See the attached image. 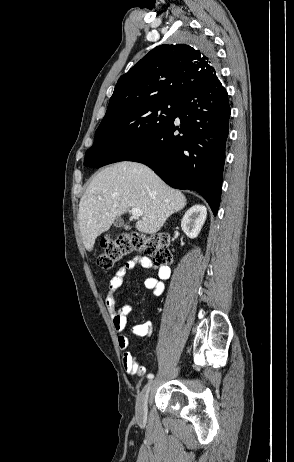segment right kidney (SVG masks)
<instances>
[{
	"mask_svg": "<svg viewBox=\"0 0 294 462\" xmlns=\"http://www.w3.org/2000/svg\"><path fill=\"white\" fill-rule=\"evenodd\" d=\"M207 209L201 204L192 206L183 216L181 228L183 232L191 239L196 238L205 223Z\"/></svg>",
	"mask_w": 294,
	"mask_h": 462,
	"instance_id": "ca27d5eb",
	"label": "right kidney"
}]
</instances>
